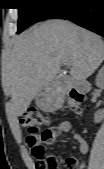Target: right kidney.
Segmentation results:
<instances>
[{"label":"right kidney","instance_id":"1","mask_svg":"<svg viewBox=\"0 0 104 169\" xmlns=\"http://www.w3.org/2000/svg\"><path fill=\"white\" fill-rule=\"evenodd\" d=\"M104 84V68H102L96 78V85L99 87H102ZM95 122H100L103 119V112L102 111H97L95 114Z\"/></svg>","mask_w":104,"mask_h":169}]
</instances>
